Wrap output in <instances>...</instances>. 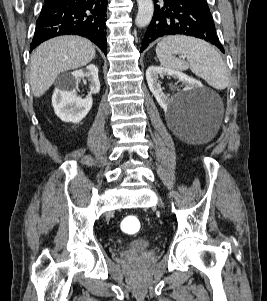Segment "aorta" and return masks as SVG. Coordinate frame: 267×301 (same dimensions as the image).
<instances>
[{
    "label": "aorta",
    "mask_w": 267,
    "mask_h": 301,
    "mask_svg": "<svg viewBox=\"0 0 267 301\" xmlns=\"http://www.w3.org/2000/svg\"><path fill=\"white\" fill-rule=\"evenodd\" d=\"M138 13L135 19V23L138 27L142 28L147 26L154 13V6L152 0H137Z\"/></svg>",
    "instance_id": "1"
}]
</instances>
